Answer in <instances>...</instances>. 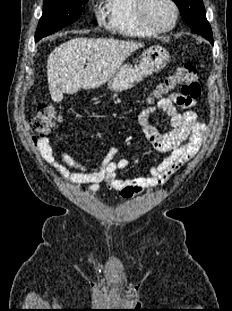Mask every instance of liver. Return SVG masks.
<instances>
[{"mask_svg": "<svg viewBox=\"0 0 232 311\" xmlns=\"http://www.w3.org/2000/svg\"><path fill=\"white\" fill-rule=\"evenodd\" d=\"M143 44L107 38H75L56 47L48 56L47 77L53 101L63 94L100 87ZM87 60L86 68L84 69Z\"/></svg>", "mask_w": 232, "mask_h": 311, "instance_id": "obj_1", "label": "liver"}]
</instances>
